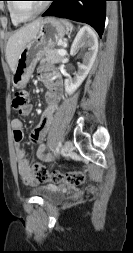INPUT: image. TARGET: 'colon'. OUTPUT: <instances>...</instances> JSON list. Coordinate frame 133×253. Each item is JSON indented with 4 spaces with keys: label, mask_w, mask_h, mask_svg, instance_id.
<instances>
[{
    "label": "colon",
    "mask_w": 133,
    "mask_h": 253,
    "mask_svg": "<svg viewBox=\"0 0 133 253\" xmlns=\"http://www.w3.org/2000/svg\"><path fill=\"white\" fill-rule=\"evenodd\" d=\"M29 97L25 90H18L12 97V107L20 112L28 104ZM33 173L40 183H66L70 185H80L84 183L86 174L84 171H70L62 173L58 170L49 171L45 166L35 163L33 165ZM94 188H92L93 190Z\"/></svg>",
    "instance_id": "1"
}]
</instances>
